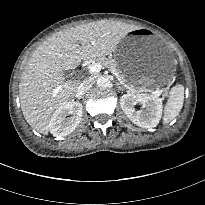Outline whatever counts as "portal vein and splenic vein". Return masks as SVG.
<instances>
[{
    "label": "portal vein and splenic vein",
    "mask_w": 205,
    "mask_h": 205,
    "mask_svg": "<svg viewBox=\"0 0 205 205\" xmlns=\"http://www.w3.org/2000/svg\"><path fill=\"white\" fill-rule=\"evenodd\" d=\"M101 68H102V65L100 63H94L88 66L89 72L91 74L98 73L101 70ZM160 93L161 92L159 90L153 91V94L155 95H160Z\"/></svg>",
    "instance_id": "1"
}]
</instances>
